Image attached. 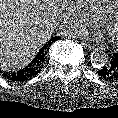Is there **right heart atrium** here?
I'll use <instances>...</instances> for the list:
<instances>
[{"instance_id":"d8ad5b80","label":"right heart atrium","mask_w":118,"mask_h":118,"mask_svg":"<svg viewBox=\"0 0 118 118\" xmlns=\"http://www.w3.org/2000/svg\"><path fill=\"white\" fill-rule=\"evenodd\" d=\"M63 18L68 27L74 31L94 24V17L86 10L81 0H70Z\"/></svg>"}]
</instances>
